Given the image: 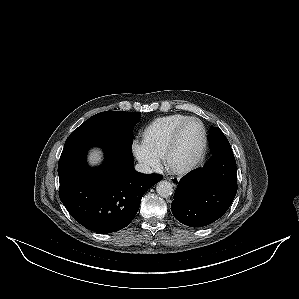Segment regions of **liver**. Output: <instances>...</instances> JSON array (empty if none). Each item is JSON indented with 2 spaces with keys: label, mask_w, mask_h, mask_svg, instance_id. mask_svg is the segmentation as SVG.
Returning a JSON list of instances; mask_svg holds the SVG:
<instances>
[{
  "label": "liver",
  "mask_w": 299,
  "mask_h": 299,
  "mask_svg": "<svg viewBox=\"0 0 299 299\" xmlns=\"http://www.w3.org/2000/svg\"><path fill=\"white\" fill-rule=\"evenodd\" d=\"M102 153L98 149H94L89 153L88 160L91 165L98 164L102 159Z\"/></svg>",
  "instance_id": "obj_1"
}]
</instances>
